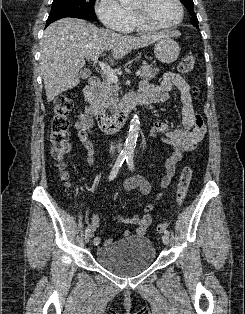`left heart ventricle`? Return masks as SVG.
<instances>
[{
  "label": "left heart ventricle",
  "mask_w": 245,
  "mask_h": 314,
  "mask_svg": "<svg viewBox=\"0 0 245 314\" xmlns=\"http://www.w3.org/2000/svg\"><path fill=\"white\" fill-rule=\"evenodd\" d=\"M131 8L157 23H173L180 17L175 0H134Z\"/></svg>",
  "instance_id": "b2bd125f"
}]
</instances>
